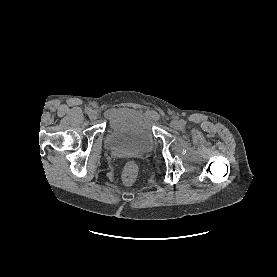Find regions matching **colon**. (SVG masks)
<instances>
[{
	"label": "colon",
	"mask_w": 277,
	"mask_h": 277,
	"mask_svg": "<svg viewBox=\"0 0 277 277\" xmlns=\"http://www.w3.org/2000/svg\"><path fill=\"white\" fill-rule=\"evenodd\" d=\"M138 174V167L137 165L130 161L127 162L123 168L121 180L122 183L125 185H131L135 182Z\"/></svg>",
	"instance_id": "obj_1"
}]
</instances>
